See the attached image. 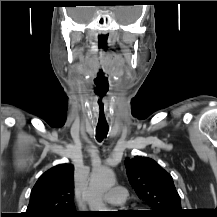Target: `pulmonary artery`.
Listing matches in <instances>:
<instances>
[{
  "label": "pulmonary artery",
  "mask_w": 217,
  "mask_h": 217,
  "mask_svg": "<svg viewBox=\"0 0 217 217\" xmlns=\"http://www.w3.org/2000/svg\"><path fill=\"white\" fill-rule=\"evenodd\" d=\"M105 202L115 206H121L126 203L127 191L124 187L116 186L113 187L110 192L104 196Z\"/></svg>",
  "instance_id": "e3ab8cb5"
}]
</instances>
